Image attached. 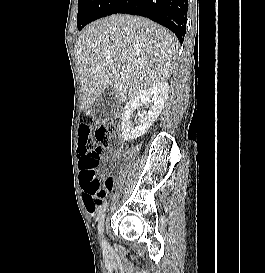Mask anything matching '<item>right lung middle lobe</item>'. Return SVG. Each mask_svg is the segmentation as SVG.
<instances>
[{"mask_svg":"<svg viewBox=\"0 0 265 273\" xmlns=\"http://www.w3.org/2000/svg\"><path fill=\"white\" fill-rule=\"evenodd\" d=\"M118 0H78L77 27L81 30L88 23L105 17Z\"/></svg>","mask_w":265,"mask_h":273,"instance_id":"1","label":"right lung middle lobe"}]
</instances>
